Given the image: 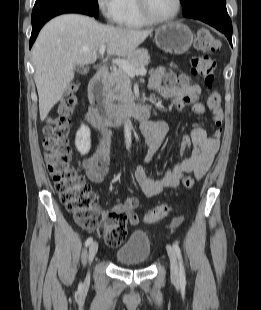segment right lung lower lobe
<instances>
[{"instance_id": "right-lung-lower-lobe-1", "label": "right lung lower lobe", "mask_w": 261, "mask_h": 310, "mask_svg": "<svg viewBox=\"0 0 261 310\" xmlns=\"http://www.w3.org/2000/svg\"><path fill=\"white\" fill-rule=\"evenodd\" d=\"M64 13H80L93 16V14L88 10L67 6L52 7L39 12L35 16H32V34L29 43L30 48L33 45L42 26L51 18Z\"/></svg>"}]
</instances>
